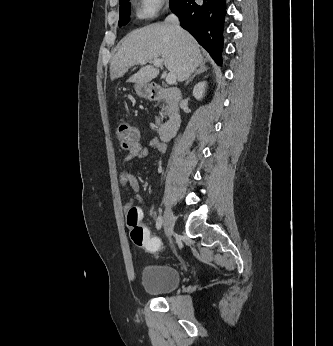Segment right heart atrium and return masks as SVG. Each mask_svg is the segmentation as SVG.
Wrapping results in <instances>:
<instances>
[{"instance_id": "right-heart-atrium-1", "label": "right heart atrium", "mask_w": 333, "mask_h": 346, "mask_svg": "<svg viewBox=\"0 0 333 346\" xmlns=\"http://www.w3.org/2000/svg\"><path fill=\"white\" fill-rule=\"evenodd\" d=\"M166 0H138V15L147 19L154 17L163 7Z\"/></svg>"}]
</instances>
